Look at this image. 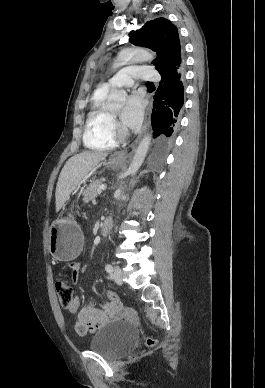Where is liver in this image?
<instances>
[{"label": "liver", "mask_w": 265, "mask_h": 388, "mask_svg": "<svg viewBox=\"0 0 265 388\" xmlns=\"http://www.w3.org/2000/svg\"><path fill=\"white\" fill-rule=\"evenodd\" d=\"M107 156V152H82V154H76V156L69 158L57 182L56 212L61 210L70 194L80 184L82 178Z\"/></svg>", "instance_id": "obj_1"}]
</instances>
